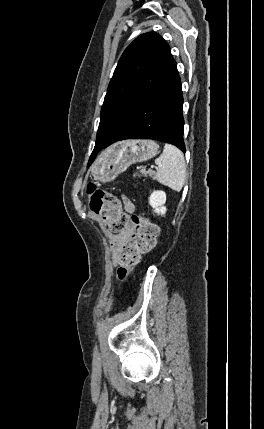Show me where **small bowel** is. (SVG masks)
<instances>
[{
    "label": "small bowel",
    "instance_id": "obj_1",
    "mask_svg": "<svg viewBox=\"0 0 264 429\" xmlns=\"http://www.w3.org/2000/svg\"><path fill=\"white\" fill-rule=\"evenodd\" d=\"M124 207L126 211L132 213L134 211V205L133 203L126 197H122ZM134 238V230L132 228H127L117 234L111 235L110 237V245L111 250L114 254V262L116 261V255L119 251V249L130 243Z\"/></svg>",
    "mask_w": 264,
    "mask_h": 429
}]
</instances>
